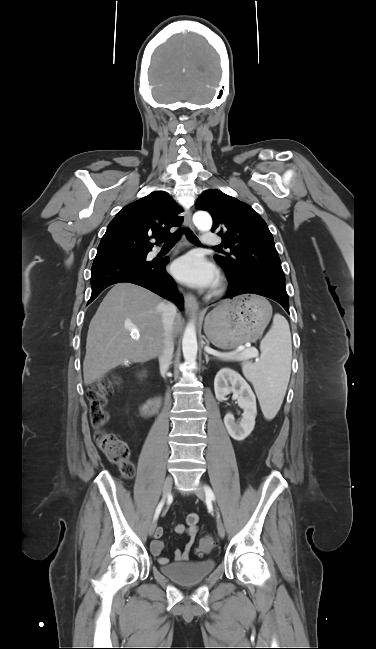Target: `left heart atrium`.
Segmentation results:
<instances>
[{
    "label": "left heart atrium",
    "mask_w": 376,
    "mask_h": 649,
    "mask_svg": "<svg viewBox=\"0 0 376 649\" xmlns=\"http://www.w3.org/2000/svg\"><path fill=\"white\" fill-rule=\"evenodd\" d=\"M172 273L181 282L194 287L212 286L217 281L214 266L197 254H188L177 259L172 265Z\"/></svg>",
    "instance_id": "1"
}]
</instances>
